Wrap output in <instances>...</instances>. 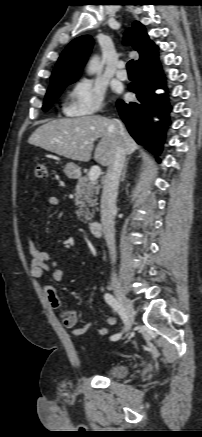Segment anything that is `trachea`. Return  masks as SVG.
Here are the masks:
<instances>
[{
    "instance_id": "3493384b",
    "label": "trachea",
    "mask_w": 202,
    "mask_h": 437,
    "mask_svg": "<svg viewBox=\"0 0 202 437\" xmlns=\"http://www.w3.org/2000/svg\"><path fill=\"white\" fill-rule=\"evenodd\" d=\"M126 67L128 71H135L133 60L128 61Z\"/></svg>"
}]
</instances>
